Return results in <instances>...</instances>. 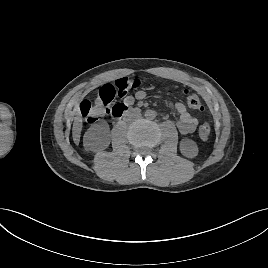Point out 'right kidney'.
<instances>
[{"label":"right kidney","mask_w":268,"mask_h":268,"mask_svg":"<svg viewBox=\"0 0 268 268\" xmlns=\"http://www.w3.org/2000/svg\"><path fill=\"white\" fill-rule=\"evenodd\" d=\"M109 132V126L105 122L92 125L84 134V148L94 152L106 149L110 144Z\"/></svg>","instance_id":"obj_1"}]
</instances>
